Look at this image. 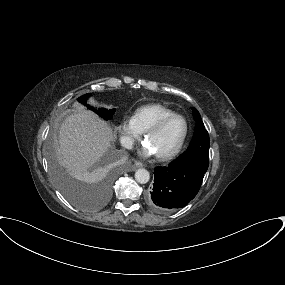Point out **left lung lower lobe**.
I'll use <instances>...</instances> for the list:
<instances>
[{
	"label": "left lung lower lobe",
	"mask_w": 285,
	"mask_h": 285,
	"mask_svg": "<svg viewBox=\"0 0 285 285\" xmlns=\"http://www.w3.org/2000/svg\"><path fill=\"white\" fill-rule=\"evenodd\" d=\"M154 170L148 204L161 213L186 206L198 193L205 174L191 167L173 164Z\"/></svg>",
	"instance_id": "obj_1"
}]
</instances>
